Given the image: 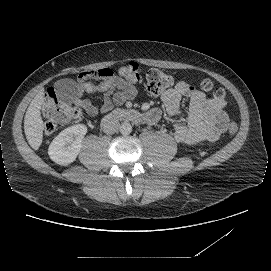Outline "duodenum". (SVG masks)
Returning <instances> with one entry per match:
<instances>
[{"mask_svg":"<svg viewBox=\"0 0 271 271\" xmlns=\"http://www.w3.org/2000/svg\"><path fill=\"white\" fill-rule=\"evenodd\" d=\"M117 120L140 123L144 120V116L132 109H116L104 116L102 127L105 131H110Z\"/></svg>","mask_w":271,"mask_h":271,"instance_id":"duodenum-1","label":"duodenum"}]
</instances>
